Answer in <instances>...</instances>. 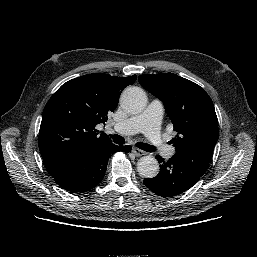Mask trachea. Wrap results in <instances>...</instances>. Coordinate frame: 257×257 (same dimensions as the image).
<instances>
[{"instance_id":"obj_1","label":"trachea","mask_w":257,"mask_h":257,"mask_svg":"<svg viewBox=\"0 0 257 257\" xmlns=\"http://www.w3.org/2000/svg\"><path fill=\"white\" fill-rule=\"evenodd\" d=\"M111 138L113 139V141L116 143V144H124L125 143V139L124 137L120 136V135H111ZM137 146L142 149V150H145L147 152H153L154 151V147L149 145V144H146V143H142V142H138L137 143Z\"/></svg>"}]
</instances>
